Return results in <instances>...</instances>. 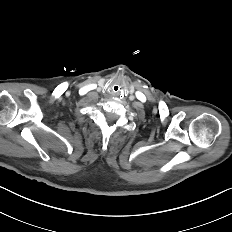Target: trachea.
Segmentation results:
<instances>
[{
    "instance_id": "1",
    "label": "trachea",
    "mask_w": 232,
    "mask_h": 232,
    "mask_svg": "<svg viewBox=\"0 0 232 232\" xmlns=\"http://www.w3.org/2000/svg\"><path fill=\"white\" fill-rule=\"evenodd\" d=\"M111 90L112 92L114 93H119L121 91V86L119 84H114L112 87H111Z\"/></svg>"
}]
</instances>
